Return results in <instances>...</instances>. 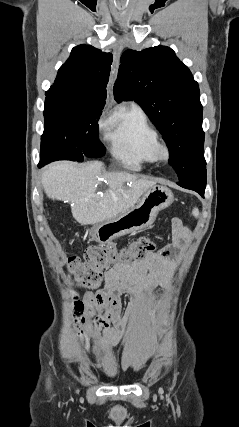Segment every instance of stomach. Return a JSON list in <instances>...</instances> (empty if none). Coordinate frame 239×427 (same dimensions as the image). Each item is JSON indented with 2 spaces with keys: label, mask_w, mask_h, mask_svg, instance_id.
I'll return each mask as SVG.
<instances>
[{
  "label": "stomach",
  "mask_w": 239,
  "mask_h": 427,
  "mask_svg": "<svg viewBox=\"0 0 239 427\" xmlns=\"http://www.w3.org/2000/svg\"><path fill=\"white\" fill-rule=\"evenodd\" d=\"M174 201L172 191L160 185L146 190L137 204L118 216L96 224L90 230L93 241L106 244L125 234L149 227L159 211L169 207Z\"/></svg>",
  "instance_id": "stomach-1"
}]
</instances>
